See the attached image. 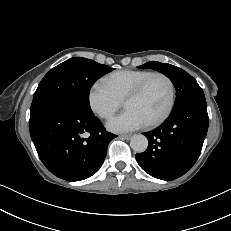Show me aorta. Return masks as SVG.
I'll list each match as a JSON object with an SVG mask.
<instances>
[{"instance_id": "1", "label": "aorta", "mask_w": 231, "mask_h": 231, "mask_svg": "<svg viewBox=\"0 0 231 231\" xmlns=\"http://www.w3.org/2000/svg\"><path fill=\"white\" fill-rule=\"evenodd\" d=\"M130 146L135 152L142 153L148 147V139L142 134H135L131 138Z\"/></svg>"}]
</instances>
